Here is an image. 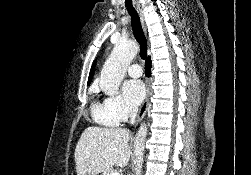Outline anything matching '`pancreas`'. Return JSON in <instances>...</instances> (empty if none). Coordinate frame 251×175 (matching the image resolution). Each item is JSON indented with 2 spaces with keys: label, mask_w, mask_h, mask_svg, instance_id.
Instances as JSON below:
<instances>
[{
  "label": "pancreas",
  "mask_w": 251,
  "mask_h": 175,
  "mask_svg": "<svg viewBox=\"0 0 251 175\" xmlns=\"http://www.w3.org/2000/svg\"><path fill=\"white\" fill-rule=\"evenodd\" d=\"M112 171V167H106V169H102V175H110Z\"/></svg>",
  "instance_id": "cf45deb5"
}]
</instances>
